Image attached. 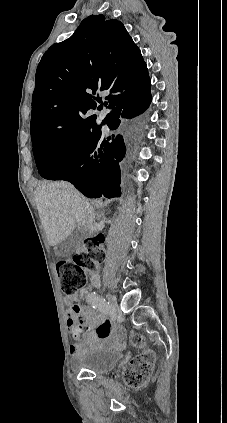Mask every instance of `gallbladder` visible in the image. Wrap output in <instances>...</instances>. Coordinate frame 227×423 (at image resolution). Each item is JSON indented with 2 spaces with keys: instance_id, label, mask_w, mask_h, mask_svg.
Returning <instances> with one entry per match:
<instances>
[{
  "instance_id": "bac80fb5",
  "label": "gallbladder",
  "mask_w": 227,
  "mask_h": 423,
  "mask_svg": "<svg viewBox=\"0 0 227 423\" xmlns=\"http://www.w3.org/2000/svg\"><path fill=\"white\" fill-rule=\"evenodd\" d=\"M89 231L83 227V225H78L75 227L74 231L62 239L60 243H57L54 247V253L56 257H71L77 247H81L84 239L88 237Z\"/></svg>"
}]
</instances>
